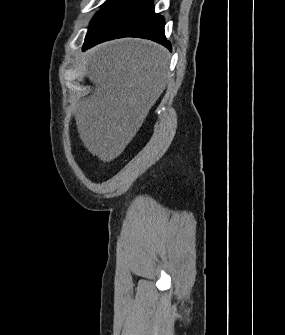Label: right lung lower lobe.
<instances>
[{"mask_svg": "<svg viewBox=\"0 0 285 335\" xmlns=\"http://www.w3.org/2000/svg\"><path fill=\"white\" fill-rule=\"evenodd\" d=\"M164 25L163 17L154 12L152 0H123L87 33L83 51L98 43L123 37L151 39L171 49L164 35Z\"/></svg>", "mask_w": 285, "mask_h": 335, "instance_id": "obj_1", "label": "right lung lower lobe"}]
</instances>
